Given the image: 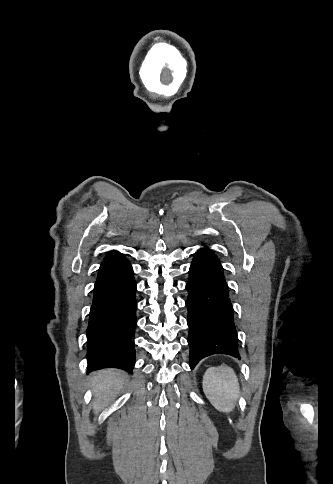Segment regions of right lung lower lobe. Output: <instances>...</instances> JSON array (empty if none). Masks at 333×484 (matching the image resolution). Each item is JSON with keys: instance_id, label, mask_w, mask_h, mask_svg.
Masks as SVG:
<instances>
[{"instance_id": "1", "label": "right lung lower lobe", "mask_w": 333, "mask_h": 484, "mask_svg": "<svg viewBox=\"0 0 333 484\" xmlns=\"http://www.w3.org/2000/svg\"><path fill=\"white\" fill-rule=\"evenodd\" d=\"M136 283L118 251L105 256L98 272L87 329V371L116 367L131 373L135 363Z\"/></svg>"}]
</instances>
